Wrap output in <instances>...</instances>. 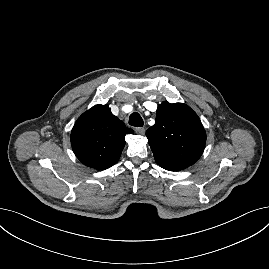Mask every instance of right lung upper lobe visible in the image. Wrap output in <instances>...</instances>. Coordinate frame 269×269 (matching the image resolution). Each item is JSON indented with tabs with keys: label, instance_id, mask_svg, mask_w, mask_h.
<instances>
[{
	"label": "right lung upper lobe",
	"instance_id": "right-lung-upper-lobe-1",
	"mask_svg": "<svg viewBox=\"0 0 269 269\" xmlns=\"http://www.w3.org/2000/svg\"><path fill=\"white\" fill-rule=\"evenodd\" d=\"M132 133L108 105H95L75 122L71 145L83 164L104 170L118 161L126 143L124 137Z\"/></svg>",
	"mask_w": 269,
	"mask_h": 269
}]
</instances>
